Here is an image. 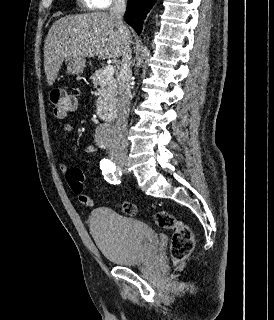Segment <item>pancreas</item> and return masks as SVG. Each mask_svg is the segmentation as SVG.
<instances>
[{"label":"pancreas","instance_id":"cf45deb5","mask_svg":"<svg viewBox=\"0 0 274 320\" xmlns=\"http://www.w3.org/2000/svg\"><path fill=\"white\" fill-rule=\"evenodd\" d=\"M91 80H93V84L100 94L96 102L98 110H102V112L113 110L117 104V80L113 76L108 78L106 74H103V70H96L95 74L91 76Z\"/></svg>","mask_w":274,"mask_h":320}]
</instances>
